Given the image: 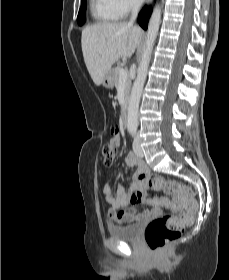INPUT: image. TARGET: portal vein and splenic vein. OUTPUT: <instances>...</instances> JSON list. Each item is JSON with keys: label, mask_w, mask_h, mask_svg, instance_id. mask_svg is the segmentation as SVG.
I'll return each instance as SVG.
<instances>
[{"label": "portal vein and splenic vein", "mask_w": 229, "mask_h": 280, "mask_svg": "<svg viewBox=\"0 0 229 280\" xmlns=\"http://www.w3.org/2000/svg\"><path fill=\"white\" fill-rule=\"evenodd\" d=\"M120 80H125L128 77V72L126 69H120L119 71Z\"/></svg>", "instance_id": "obj_1"}]
</instances>
